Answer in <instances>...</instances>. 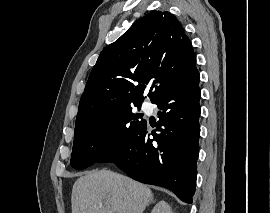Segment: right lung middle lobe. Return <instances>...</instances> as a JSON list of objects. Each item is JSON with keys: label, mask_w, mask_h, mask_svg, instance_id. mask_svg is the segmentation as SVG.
Here are the masks:
<instances>
[{"label": "right lung middle lobe", "mask_w": 270, "mask_h": 213, "mask_svg": "<svg viewBox=\"0 0 270 213\" xmlns=\"http://www.w3.org/2000/svg\"><path fill=\"white\" fill-rule=\"evenodd\" d=\"M140 108L141 103H134ZM131 104L114 108L75 123L71 166L84 169L131 137L145 122Z\"/></svg>", "instance_id": "right-lung-middle-lobe-1"}]
</instances>
